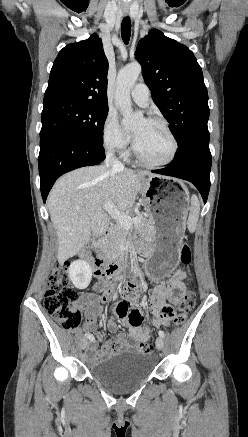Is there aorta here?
<instances>
[{"mask_svg": "<svg viewBox=\"0 0 248 437\" xmlns=\"http://www.w3.org/2000/svg\"><path fill=\"white\" fill-rule=\"evenodd\" d=\"M140 73L141 66L138 63H133L121 69L117 76L115 103L123 115L122 124L126 128L136 126L138 121L142 118L141 113L133 112L130 97V90L134 86Z\"/></svg>", "mask_w": 248, "mask_h": 437, "instance_id": "obj_1", "label": "aorta"}]
</instances>
